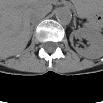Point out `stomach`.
Returning a JSON list of instances; mask_svg holds the SVG:
<instances>
[{
	"mask_svg": "<svg viewBox=\"0 0 103 103\" xmlns=\"http://www.w3.org/2000/svg\"><path fill=\"white\" fill-rule=\"evenodd\" d=\"M90 6H92V4L89 2H81L78 4L79 8H82V7L90 8Z\"/></svg>",
	"mask_w": 103,
	"mask_h": 103,
	"instance_id": "stomach-1",
	"label": "stomach"
}]
</instances>
